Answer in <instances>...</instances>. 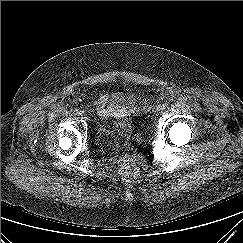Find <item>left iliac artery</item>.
<instances>
[{
	"label": "left iliac artery",
	"mask_w": 243,
	"mask_h": 243,
	"mask_svg": "<svg viewBox=\"0 0 243 243\" xmlns=\"http://www.w3.org/2000/svg\"><path fill=\"white\" fill-rule=\"evenodd\" d=\"M169 105L168 102H165L162 106H163V109H165L167 106Z\"/></svg>",
	"instance_id": "left-iliac-artery-1"
}]
</instances>
